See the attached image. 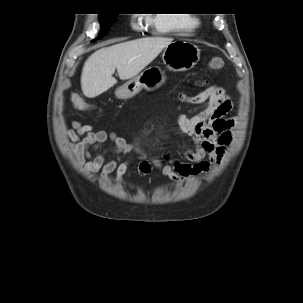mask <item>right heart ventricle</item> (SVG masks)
Instances as JSON below:
<instances>
[{
	"instance_id": "obj_1",
	"label": "right heart ventricle",
	"mask_w": 303,
	"mask_h": 303,
	"mask_svg": "<svg viewBox=\"0 0 303 303\" xmlns=\"http://www.w3.org/2000/svg\"><path fill=\"white\" fill-rule=\"evenodd\" d=\"M150 22L161 32L172 30H190L198 25L197 19L193 17H152Z\"/></svg>"
}]
</instances>
